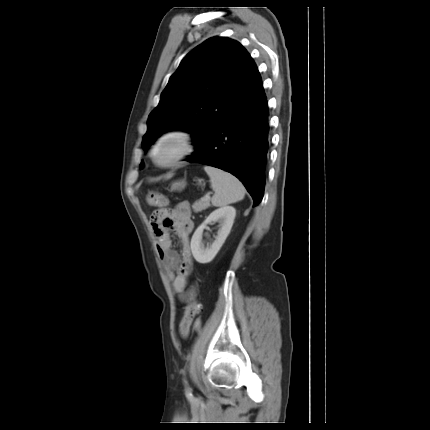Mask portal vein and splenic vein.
Instances as JSON below:
<instances>
[{
  "label": "portal vein and splenic vein",
  "mask_w": 430,
  "mask_h": 430,
  "mask_svg": "<svg viewBox=\"0 0 430 430\" xmlns=\"http://www.w3.org/2000/svg\"><path fill=\"white\" fill-rule=\"evenodd\" d=\"M209 198H210V194H206L205 199H209Z\"/></svg>",
  "instance_id": "1"
}]
</instances>
